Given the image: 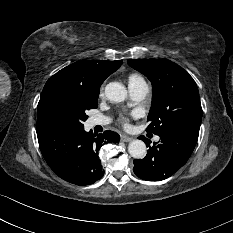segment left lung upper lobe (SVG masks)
<instances>
[{
	"mask_svg": "<svg viewBox=\"0 0 233 233\" xmlns=\"http://www.w3.org/2000/svg\"><path fill=\"white\" fill-rule=\"evenodd\" d=\"M152 83V105L147 132L163 134L188 121H201L202 108L193 78L179 65L166 59L128 60Z\"/></svg>",
	"mask_w": 233,
	"mask_h": 233,
	"instance_id": "obj_1",
	"label": "left lung upper lobe"
}]
</instances>
